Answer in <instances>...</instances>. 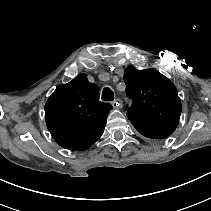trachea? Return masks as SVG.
<instances>
[{
  "instance_id": "obj_1",
  "label": "trachea",
  "mask_w": 211,
  "mask_h": 211,
  "mask_svg": "<svg viewBox=\"0 0 211 211\" xmlns=\"http://www.w3.org/2000/svg\"><path fill=\"white\" fill-rule=\"evenodd\" d=\"M102 100L112 101L114 100V93L109 87H105L102 92Z\"/></svg>"
}]
</instances>
